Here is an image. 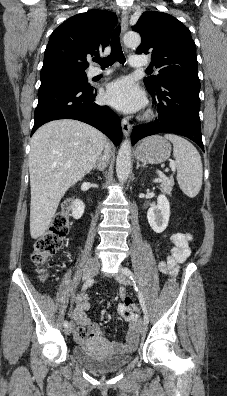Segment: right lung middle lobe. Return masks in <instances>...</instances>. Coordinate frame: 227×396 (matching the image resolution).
Listing matches in <instances>:
<instances>
[{
	"label": "right lung middle lobe",
	"mask_w": 227,
	"mask_h": 396,
	"mask_svg": "<svg viewBox=\"0 0 227 396\" xmlns=\"http://www.w3.org/2000/svg\"><path fill=\"white\" fill-rule=\"evenodd\" d=\"M54 80H67L84 86H89L84 70L54 68L41 71V84Z\"/></svg>",
	"instance_id": "1"
}]
</instances>
